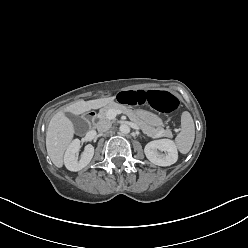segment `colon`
<instances>
[{
  "instance_id": "1",
  "label": "colon",
  "mask_w": 248,
  "mask_h": 248,
  "mask_svg": "<svg viewBox=\"0 0 248 248\" xmlns=\"http://www.w3.org/2000/svg\"><path fill=\"white\" fill-rule=\"evenodd\" d=\"M120 104L150 105L162 113H170L178 107V99L164 90H127L117 96Z\"/></svg>"
}]
</instances>
